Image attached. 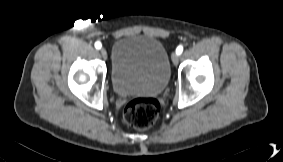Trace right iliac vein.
<instances>
[{
	"label": "right iliac vein",
	"mask_w": 283,
	"mask_h": 162,
	"mask_svg": "<svg viewBox=\"0 0 283 162\" xmlns=\"http://www.w3.org/2000/svg\"><path fill=\"white\" fill-rule=\"evenodd\" d=\"M100 53H101V55H102V57H103L104 59L107 58V51H106V49L101 48V49H100Z\"/></svg>",
	"instance_id": "right-iliac-vein-1"
}]
</instances>
